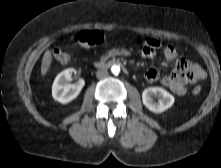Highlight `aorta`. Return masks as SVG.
<instances>
[{
  "label": "aorta",
  "instance_id": "762f6f07",
  "mask_svg": "<svg viewBox=\"0 0 221 168\" xmlns=\"http://www.w3.org/2000/svg\"><path fill=\"white\" fill-rule=\"evenodd\" d=\"M111 72L114 74V75H118L120 73V67L118 65H113L111 67Z\"/></svg>",
  "mask_w": 221,
  "mask_h": 168
}]
</instances>
